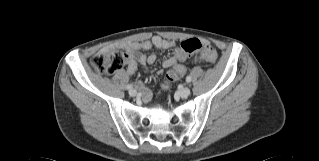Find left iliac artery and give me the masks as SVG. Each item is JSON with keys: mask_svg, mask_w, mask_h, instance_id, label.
I'll return each mask as SVG.
<instances>
[{"mask_svg": "<svg viewBox=\"0 0 319 161\" xmlns=\"http://www.w3.org/2000/svg\"><path fill=\"white\" fill-rule=\"evenodd\" d=\"M186 82H187V83H190V82H191V76H187V77H186Z\"/></svg>", "mask_w": 319, "mask_h": 161, "instance_id": "left-iliac-artery-1", "label": "left iliac artery"}]
</instances>
